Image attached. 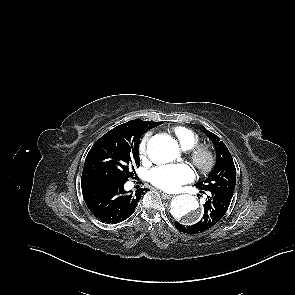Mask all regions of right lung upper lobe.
<instances>
[{"instance_id": "right-lung-upper-lobe-1", "label": "right lung upper lobe", "mask_w": 295, "mask_h": 295, "mask_svg": "<svg viewBox=\"0 0 295 295\" xmlns=\"http://www.w3.org/2000/svg\"><path fill=\"white\" fill-rule=\"evenodd\" d=\"M139 123H146V124L157 125V124H160L161 122H150V121H142V120L136 119V120H131V121L127 122V123L121 124V125L113 128L111 131L124 130V129H127L129 127H132V126H134L136 124H139Z\"/></svg>"}]
</instances>
